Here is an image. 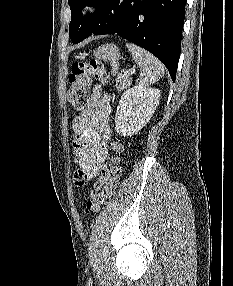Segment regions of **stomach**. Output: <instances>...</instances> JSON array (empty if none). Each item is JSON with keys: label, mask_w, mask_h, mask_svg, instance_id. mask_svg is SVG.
I'll return each instance as SVG.
<instances>
[{"label": "stomach", "mask_w": 233, "mask_h": 286, "mask_svg": "<svg viewBox=\"0 0 233 286\" xmlns=\"http://www.w3.org/2000/svg\"><path fill=\"white\" fill-rule=\"evenodd\" d=\"M88 53H83L82 58L88 57ZM96 59L103 60L105 62H110L114 69L117 70V61L120 57L118 47L114 44H106L98 47L97 50L93 52Z\"/></svg>", "instance_id": "obj_1"}]
</instances>
